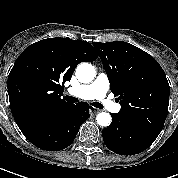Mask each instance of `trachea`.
<instances>
[{
    "instance_id": "3493384b",
    "label": "trachea",
    "mask_w": 178,
    "mask_h": 178,
    "mask_svg": "<svg viewBox=\"0 0 178 178\" xmlns=\"http://www.w3.org/2000/svg\"><path fill=\"white\" fill-rule=\"evenodd\" d=\"M65 100L67 102H71V103L78 102V99L75 97H72V96H65ZM91 105L94 107L100 108V109L103 108V105L99 102H93V103H91Z\"/></svg>"
}]
</instances>
